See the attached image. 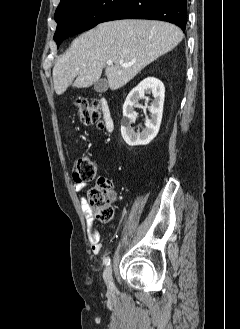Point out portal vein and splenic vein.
<instances>
[{
  "instance_id": "obj_1",
  "label": "portal vein and splenic vein",
  "mask_w": 240,
  "mask_h": 329,
  "mask_svg": "<svg viewBox=\"0 0 240 329\" xmlns=\"http://www.w3.org/2000/svg\"><path fill=\"white\" fill-rule=\"evenodd\" d=\"M113 62L111 60L107 61V65H112ZM121 66L122 67H130L131 65L130 64H125V63H121Z\"/></svg>"
}]
</instances>
